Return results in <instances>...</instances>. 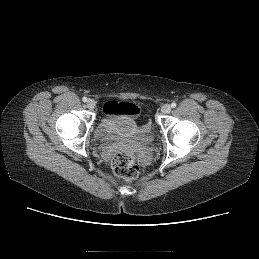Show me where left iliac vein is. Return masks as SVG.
<instances>
[{"mask_svg":"<svg viewBox=\"0 0 259 259\" xmlns=\"http://www.w3.org/2000/svg\"><path fill=\"white\" fill-rule=\"evenodd\" d=\"M163 114H169L171 112V106L169 104H164L161 108Z\"/></svg>","mask_w":259,"mask_h":259,"instance_id":"1","label":"left iliac vein"}]
</instances>
